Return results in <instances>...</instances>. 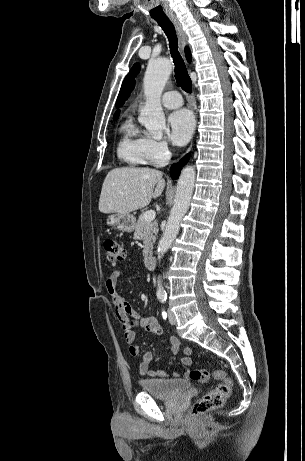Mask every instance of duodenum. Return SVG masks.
<instances>
[{"label": "duodenum", "mask_w": 305, "mask_h": 461, "mask_svg": "<svg viewBox=\"0 0 305 461\" xmlns=\"http://www.w3.org/2000/svg\"><path fill=\"white\" fill-rule=\"evenodd\" d=\"M156 266V258L155 256L150 252L146 255L145 257V267L149 270L154 269Z\"/></svg>", "instance_id": "obj_1"}]
</instances>
